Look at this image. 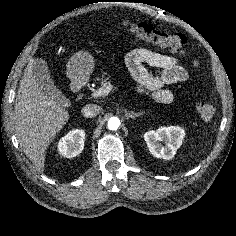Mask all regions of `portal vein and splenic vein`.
Instances as JSON below:
<instances>
[{
	"instance_id": "18ae733b",
	"label": "portal vein and splenic vein",
	"mask_w": 236,
	"mask_h": 236,
	"mask_svg": "<svg viewBox=\"0 0 236 236\" xmlns=\"http://www.w3.org/2000/svg\"><path fill=\"white\" fill-rule=\"evenodd\" d=\"M110 82H106L102 87H100L97 91L91 94L93 98L101 97V96H106L110 93L111 90L115 89Z\"/></svg>"
}]
</instances>
